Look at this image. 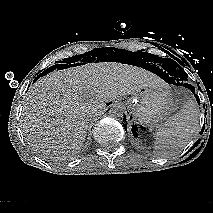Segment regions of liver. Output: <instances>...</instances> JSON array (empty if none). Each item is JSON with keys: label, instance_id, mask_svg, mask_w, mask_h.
<instances>
[{"label": "liver", "instance_id": "obj_1", "mask_svg": "<svg viewBox=\"0 0 213 213\" xmlns=\"http://www.w3.org/2000/svg\"><path fill=\"white\" fill-rule=\"evenodd\" d=\"M159 84L162 81L150 71L117 62L50 72L25 97V140L43 158H72L83 146L90 113H100L107 102Z\"/></svg>", "mask_w": 213, "mask_h": 213}]
</instances>
